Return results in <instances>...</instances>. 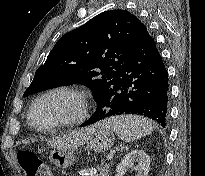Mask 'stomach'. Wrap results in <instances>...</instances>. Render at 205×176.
I'll return each mask as SVG.
<instances>
[{"mask_svg": "<svg viewBox=\"0 0 205 176\" xmlns=\"http://www.w3.org/2000/svg\"><path fill=\"white\" fill-rule=\"evenodd\" d=\"M90 136L87 140V147L97 153L109 150L115 140L113 131L99 123L90 127ZM50 161L59 168H68L75 161V149L55 148L50 152Z\"/></svg>", "mask_w": 205, "mask_h": 176, "instance_id": "obj_1", "label": "stomach"}]
</instances>
